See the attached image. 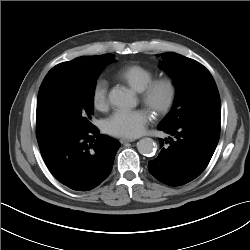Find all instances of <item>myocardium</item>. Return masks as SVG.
<instances>
[{"instance_id":"f54148a6","label":"myocardium","mask_w":250,"mask_h":250,"mask_svg":"<svg viewBox=\"0 0 250 250\" xmlns=\"http://www.w3.org/2000/svg\"><path fill=\"white\" fill-rule=\"evenodd\" d=\"M160 91L165 92L164 100L157 104L156 96ZM142 102L149 107L157 116L168 114L174 107L178 98V86L176 82L168 77L151 80L141 91Z\"/></svg>"}]
</instances>
